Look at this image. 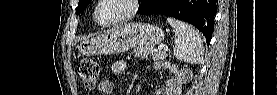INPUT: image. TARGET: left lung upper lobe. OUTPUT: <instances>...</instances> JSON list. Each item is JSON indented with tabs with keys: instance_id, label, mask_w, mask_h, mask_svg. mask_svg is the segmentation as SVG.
<instances>
[{
	"instance_id": "1",
	"label": "left lung upper lobe",
	"mask_w": 277,
	"mask_h": 95,
	"mask_svg": "<svg viewBox=\"0 0 277 95\" xmlns=\"http://www.w3.org/2000/svg\"><path fill=\"white\" fill-rule=\"evenodd\" d=\"M151 0H141V5L139 7V10L144 8ZM91 2V0H79L78 7L76 9V14H79L81 11H83ZM138 10V11H139Z\"/></svg>"
}]
</instances>
